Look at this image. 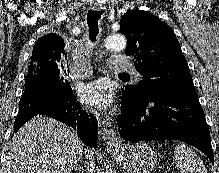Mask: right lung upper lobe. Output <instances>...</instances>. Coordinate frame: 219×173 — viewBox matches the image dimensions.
I'll return each instance as SVG.
<instances>
[{"instance_id":"cb5924a9","label":"right lung upper lobe","mask_w":219,"mask_h":173,"mask_svg":"<svg viewBox=\"0 0 219 173\" xmlns=\"http://www.w3.org/2000/svg\"><path fill=\"white\" fill-rule=\"evenodd\" d=\"M64 47V40L59 35L55 33L44 35L35 43L30 63L49 62L63 67L64 58L67 57Z\"/></svg>"}]
</instances>
